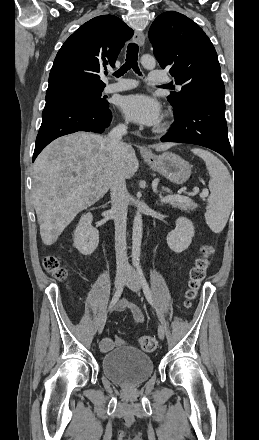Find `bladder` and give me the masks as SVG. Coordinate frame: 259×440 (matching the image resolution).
Wrapping results in <instances>:
<instances>
[{
    "label": "bladder",
    "mask_w": 259,
    "mask_h": 440,
    "mask_svg": "<svg viewBox=\"0 0 259 440\" xmlns=\"http://www.w3.org/2000/svg\"><path fill=\"white\" fill-rule=\"evenodd\" d=\"M104 375L122 386L146 382L154 372L151 357L135 347H119L106 353L101 361Z\"/></svg>",
    "instance_id": "1"
}]
</instances>
